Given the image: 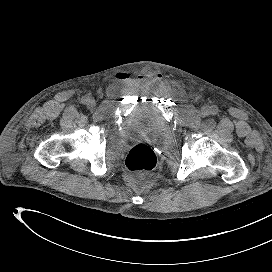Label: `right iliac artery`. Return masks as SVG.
Listing matches in <instances>:
<instances>
[{
	"label": "right iliac artery",
	"instance_id": "right-iliac-artery-1",
	"mask_svg": "<svg viewBox=\"0 0 272 272\" xmlns=\"http://www.w3.org/2000/svg\"><path fill=\"white\" fill-rule=\"evenodd\" d=\"M81 102H82L83 104H87L88 98H87V97H83V98L81 99Z\"/></svg>",
	"mask_w": 272,
	"mask_h": 272
}]
</instances>
